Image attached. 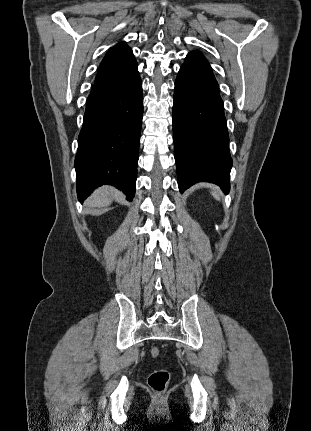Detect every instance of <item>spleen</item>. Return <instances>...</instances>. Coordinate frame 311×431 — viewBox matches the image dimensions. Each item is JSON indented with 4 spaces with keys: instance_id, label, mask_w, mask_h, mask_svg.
Returning <instances> with one entry per match:
<instances>
[{
    "instance_id": "obj_1",
    "label": "spleen",
    "mask_w": 311,
    "mask_h": 431,
    "mask_svg": "<svg viewBox=\"0 0 311 431\" xmlns=\"http://www.w3.org/2000/svg\"><path fill=\"white\" fill-rule=\"evenodd\" d=\"M212 194H213L214 198H216V200H220L219 194H218L217 190H215V188H214Z\"/></svg>"
}]
</instances>
